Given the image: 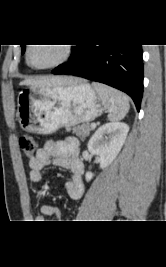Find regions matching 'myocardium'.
<instances>
[{"instance_id": "1", "label": "myocardium", "mask_w": 166, "mask_h": 267, "mask_svg": "<svg viewBox=\"0 0 166 267\" xmlns=\"http://www.w3.org/2000/svg\"><path fill=\"white\" fill-rule=\"evenodd\" d=\"M35 44H29L26 49H25V62L27 64L28 67H30L31 69L33 70H36V71H44V70H50V69H54L56 67H59L60 65L64 64L65 62H67L72 54V47L68 44H61L62 45V48H63V54L61 56V58L59 60H57L56 62L54 63H51V64H48V65H44V66H33L31 63H30V60H29V53H30V50L32 49V47L34 46Z\"/></svg>"}]
</instances>
